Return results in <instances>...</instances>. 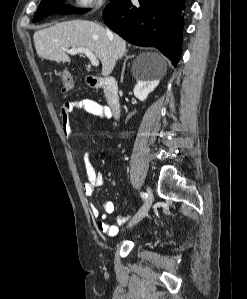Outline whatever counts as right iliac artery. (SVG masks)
Returning a JSON list of instances; mask_svg holds the SVG:
<instances>
[{
  "label": "right iliac artery",
  "mask_w": 247,
  "mask_h": 299,
  "mask_svg": "<svg viewBox=\"0 0 247 299\" xmlns=\"http://www.w3.org/2000/svg\"><path fill=\"white\" fill-rule=\"evenodd\" d=\"M140 195H141L143 200L147 199V193L141 192Z\"/></svg>",
  "instance_id": "right-iliac-artery-1"
}]
</instances>
